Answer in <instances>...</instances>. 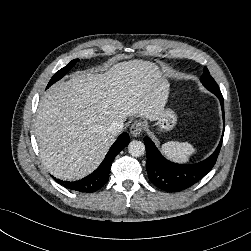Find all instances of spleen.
<instances>
[{"mask_svg": "<svg viewBox=\"0 0 251 251\" xmlns=\"http://www.w3.org/2000/svg\"><path fill=\"white\" fill-rule=\"evenodd\" d=\"M162 153L169 159L185 163L189 156L195 152L193 146L186 142L171 141L162 145Z\"/></svg>", "mask_w": 251, "mask_h": 251, "instance_id": "1", "label": "spleen"}]
</instances>
